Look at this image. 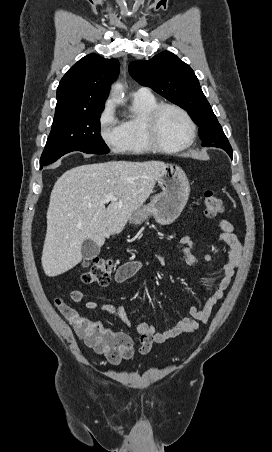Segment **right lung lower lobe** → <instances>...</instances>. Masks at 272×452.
Returning <instances> with one entry per match:
<instances>
[{
  "label": "right lung lower lobe",
  "mask_w": 272,
  "mask_h": 452,
  "mask_svg": "<svg viewBox=\"0 0 272 452\" xmlns=\"http://www.w3.org/2000/svg\"><path fill=\"white\" fill-rule=\"evenodd\" d=\"M43 168V166H40V169H42Z\"/></svg>",
  "instance_id": "98d812e1"
}]
</instances>
